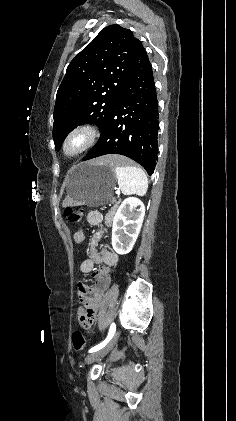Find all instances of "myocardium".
Returning <instances> with one entry per match:
<instances>
[{"label":"myocardium","mask_w":236,"mask_h":421,"mask_svg":"<svg viewBox=\"0 0 236 421\" xmlns=\"http://www.w3.org/2000/svg\"><path fill=\"white\" fill-rule=\"evenodd\" d=\"M100 137L97 127L91 124L79 125L71 129L64 137L61 144V156L64 160L74 161L82 154L93 147ZM77 140L79 142L77 149L71 155L68 154V145Z\"/></svg>","instance_id":"1"}]
</instances>
